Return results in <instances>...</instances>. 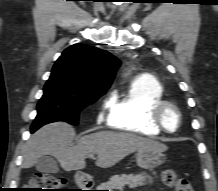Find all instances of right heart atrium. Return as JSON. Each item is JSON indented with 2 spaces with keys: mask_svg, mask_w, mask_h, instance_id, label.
<instances>
[{
  "mask_svg": "<svg viewBox=\"0 0 218 191\" xmlns=\"http://www.w3.org/2000/svg\"><path fill=\"white\" fill-rule=\"evenodd\" d=\"M114 102H115V98L113 96H110L104 101L102 106V111L98 116V120L100 122L104 121L107 117H109L111 110L114 106Z\"/></svg>",
  "mask_w": 218,
  "mask_h": 191,
  "instance_id": "right-heart-atrium-1",
  "label": "right heart atrium"
}]
</instances>
